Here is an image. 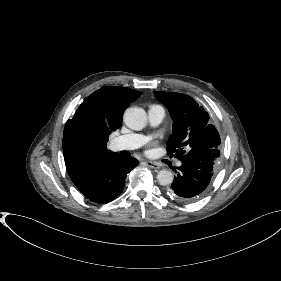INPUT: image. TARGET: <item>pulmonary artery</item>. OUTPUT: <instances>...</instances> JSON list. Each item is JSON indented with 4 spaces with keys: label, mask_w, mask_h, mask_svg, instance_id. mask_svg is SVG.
Masks as SVG:
<instances>
[{
    "label": "pulmonary artery",
    "mask_w": 281,
    "mask_h": 281,
    "mask_svg": "<svg viewBox=\"0 0 281 281\" xmlns=\"http://www.w3.org/2000/svg\"><path fill=\"white\" fill-rule=\"evenodd\" d=\"M165 117V111L163 107L159 105H151L148 109V118L151 126L155 127L162 123ZM148 141V137L141 134H126L116 137L113 140V149L116 151L121 150H134ZM181 163H179L180 165Z\"/></svg>",
    "instance_id": "pulmonary-artery-1"
}]
</instances>
